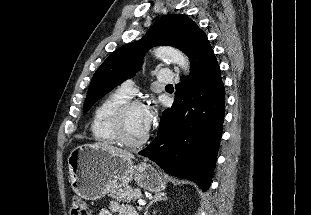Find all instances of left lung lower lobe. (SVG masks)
<instances>
[{
    "label": "left lung lower lobe",
    "instance_id": "1",
    "mask_svg": "<svg viewBox=\"0 0 311 215\" xmlns=\"http://www.w3.org/2000/svg\"><path fill=\"white\" fill-rule=\"evenodd\" d=\"M188 57L191 75L176 85L175 101L163 112L158 136L139 155L207 191L222 135L225 90L206 35L195 43Z\"/></svg>",
    "mask_w": 311,
    "mask_h": 215
}]
</instances>
